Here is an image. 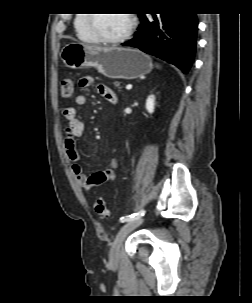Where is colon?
I'll list each match as a JSON object with an SVG mask.
<instances>
[{"mask_svg":"<svg viewBox=\"0 0 252 303\" xmlns=\"http://www.w3.org/2000/svg\"><path fill=\"white\" fill-rule=\"evenodd\" d=\"M74 93V82L70 78H65L61 82V95L69 99ZM93 208L96 214L101 218H106L109 216V209L107 207L106 201L102 198H96L93 204Z\"/></svg>","mask_w":252,"mask_h":303,"instance_id":"colon-1","label":"colon"}]
</instances>
